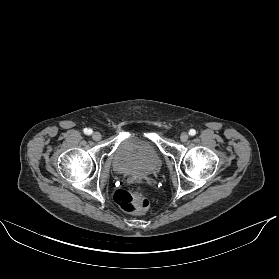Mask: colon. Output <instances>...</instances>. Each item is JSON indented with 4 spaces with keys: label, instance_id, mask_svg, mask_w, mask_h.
I'll use <instances>...</instances> for the list:
<instances>
[{
    "label": "colon",
    "instance_id": "1",
    "mask_svg": "<svg viewBox=\"0 0 279 279\" xmlns=\"http://www.w3.org/2000/svg\"><path fill=\"white\" fill-rule=\"evenodd\" d=\"M114 199L120 209L126 213L141 214L149 207V201L145 197L127 189L117 190Z\"/></svg>",
    "mask_w": 279,
    "mask_h": 279
}]
</instances>
